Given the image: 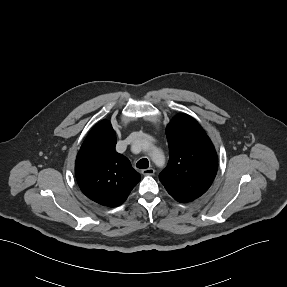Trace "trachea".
Instances as JSON below:
<instances>
[{
  "label": "trachea",
  "mask_w": 287,
  "mask_h": 287,
  "mask_svg": "<svg viewBox=\"0 0 287 287\" xmlns=\"http://www.w3.org/2000/svg\"><path fill=\"white\" fill-rule=\"evenodd\" d=\"M136 167L139 169H146L149 167V161L146 158L140 159L137 163H136Z\"/></svg>",
  "instance_id": "trachea-1"
}]
</instances>
